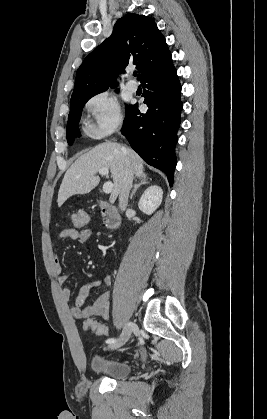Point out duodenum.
Returning <instances> with one entry per match:
<instances>
[{"instance_id":"1","label":"duodenum","mask_w":267,"mask_h":419,"mask_svg":"<svg viewBox=\"0 0 267 419\" xmlns=\"http://www.w3.org/2000/svg\"><path fill=\"white\" fill-rule=\"evenodd\" d=\"M99 208L103 217L104 226L108 230L116 229L120 224V215L116 207L105 201H99Z\"/></svg>"}]
</instances>
